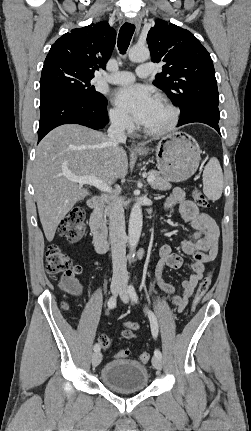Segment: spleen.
I'll use <instances>...</instances> for the list:
<instances>
[{
	"instance_id": "obj_1",
	"label": "spleen",
	"mask_w": 251,
	"mask_h": 431,
	"mask_svg": "<svg viewBox=\"0 0 251 431\" xmlns=\"http://www.w3.org/2000/svg\"><path fill=\"white\" fill-rule=\"evenodd\" d=\"M223 191V173L217 158L212 157L203 171V192L210 200H218Z\"/></svg>"
}]
</instances>
